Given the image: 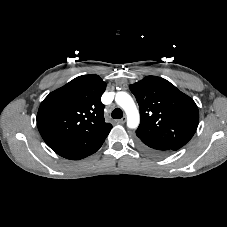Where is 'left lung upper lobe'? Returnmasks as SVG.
<instances>
[{"mask_svg": "<svg viewBox=\"0 0 227 227\" xmlns=\"http://www.w3.org/2000/svg\"><path fill=\"white\" fill-rule=\"evenodd\" d=\"M130 90L140 107L139 141L176 151L192 138L199 122L192 98L157 76H146Z\"/></svg>", "mask_w": 227, "mask_h": 227, "instance_id": "left-lung-upper-lobe-1", "label": "left lung upper lobe"}]
</instances>
